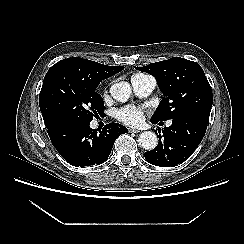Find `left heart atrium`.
Listing matches in <instances>:
<instances>
[{
  "mask_svg": "<svg viewBox=\"0 0 244 244\" xmlns=\"http://www.w3.org/2000/svg\"><path fill=\"white\" fill-rule=\"evenodd\" d=\"M116 118L124 124L138 126L143 122V111L135 106H127L116 111Z\"/></svg>",
  "mask_w": 244,
  "mask_h": 244,
  "instance_id": "obj_1",
  "label": "left heart atrium"
}]
</instances>
